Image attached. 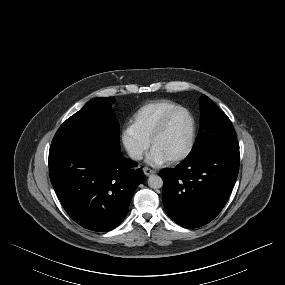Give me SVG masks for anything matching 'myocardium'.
I'll return each instance as SVG.
<instances>
[{
  "mask_svg": "<svg viewBox=\"0 0 285 285\" xmlns=\"http://www.w3.org/2000/svg\"><path fill=\"white\" fill-rule=\"evenodd\" d=\"M177 112H185L188 115V117L190 118L191 135H190V140H189L188 146L185 149V151L181 155L167 160V162L171 165H176V164H179V163L183 162L184 160H186L191 155V153L193 152V150L195 148L196 141H197V122H196V118L193 115V113L188 108L183 107V106H177V107L171 109L161 118V120L157 124L156 128L154 129V131L150 137V145L153 148L155 141L164 132V130L166 129L170 119Z\"/></svg>",
  "mask_w": 285,
  "mask_h": 285,
  "instance_id": "obj_1",
  "label": "myocardium"
}]
</instances>
